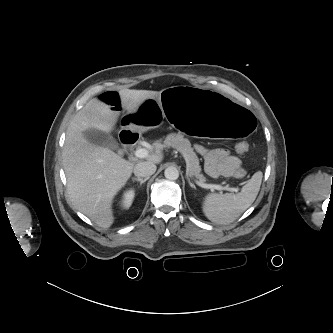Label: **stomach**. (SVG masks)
Listing matches in <instances>:
<instances>
[{
    "label": "stomach",
    "instance_id": "obj_1",
    "mask_svg": "<svg viewBox=\"0 0 333 333\" xmlns=\"http://www.w3.org/2000/svg\"><path fill=\"white\" fill-rule=\"evenodd\" d=\"M172 121L185 133L214 140L220 136L232 142L247 140L255 129V115L243 103H229L225 97L200 88L177 86L147 95L140 108L123 117L127 130L143 133Z\"/></svg>",
    "mask_w": 333,
    "mask_h": 333
}]
</instances>
